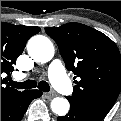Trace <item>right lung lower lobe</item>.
Wrapping results in <instances>:
<instances>
[{
    "mask_svg": "<svg viewBox=\"0 0 121 121\" xmlns=\"http://www.w3.org/2000/svg\"><path fill=\"white\" fill-rule=\"evenodd\" d=\"M42 95L39 90H25L1 105V121H20L30 102Z\"/></svg>",
    "mask_w": 121,
    "mask_h": 121,
    "instance_id": "1",
    "label": "right lung lower lobe"
}]
</instances>
